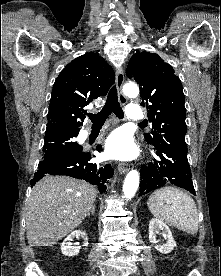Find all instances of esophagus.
Listing matches in <instances>:
<instances>
[{
	"mask_svg": "<svg viewBox=\"0 0 221 276\" xmlns=\"http://www.w3.org/2000/svg\"><path fill=\"white\" fill-rule=\"evenodd\" d=\"M123 84H124V73L122 69H118L116 72V88H117L118 98L120 103L122 105H125L127 102V99L122 92ZM129 170H130V165L128 163H119L118 165L119 173L124 174Z\"/></svg>",
	"mask_w": 221,
	"mask_h": 276,
	"instance_id": "obj_1",
	"label": "esophagus"
}]
</instances>
